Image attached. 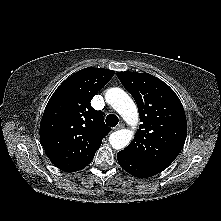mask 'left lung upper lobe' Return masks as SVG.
Listing matches in <instances>:
<instances>
[{"label": "left lung upper lobe", "mask_w": 221, "mask_h": 221, "mask_svg": "<svg viewBox=\"0 0 221 221\" xmlns=\"http://www.w3.org/2000/svg\"><path fill=\"white\" fill-rule=\"evenodd\" d=\"M136 101L142 124L123 152L160 170L168 167L185 143L187 121L175 92L149 73L118 72Z\"/></svg>", "instance_id": "1"}]
</instances>
